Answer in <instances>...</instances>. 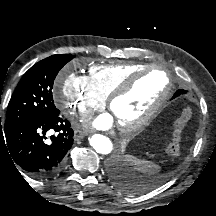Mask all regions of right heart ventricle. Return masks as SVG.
I'll use <instances>...</instances> for the list:
<instances>
[{"mask_svg":"<svg viewBox=\"0 0 216 216\" xmlns=\"http://www.w3.org/2000/svg\"><path fill=\"white\" fill-rule=\"evenodd\" d=\"M142 67L134 62L93 65L89 68V79L95 91L107 99L121 82Z\"/></svg>","mask_w":216,"mask_h":216,"instance_id":"e07e8e85","label":"right heart ventricle"}]
</instances>
